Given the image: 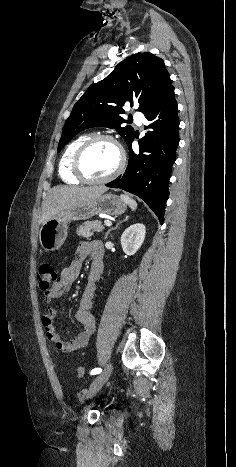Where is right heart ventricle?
I'll use <instances>...</instances> for the list:
<instances>
[{"label": "right heart ventricle", "mask_w": 236, "mask_h": 467, "mask_svg": "<svg viewBox=\"0 0 236 467\" xmlns=\"http://www.w3.org/2000/svg\"><path fill=\"white\" fill-rule=\"evenodd\" d=\"M89 138V135H82L73 140L64 150L58 166L60 178L67 184H79V180L72 172V161L76 150Z\"/></svg>", "instance_id": "obj_1"}]
</instances>
